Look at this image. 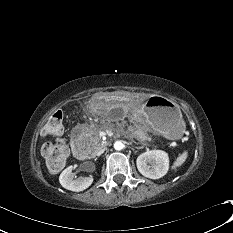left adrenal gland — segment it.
<instances>
[{
  "instance_id": "left-adrenal-gland-1",
  "label": "left adrenal gland",
  "mask_w": 233,
  "mask_h": 233,
  "mask_svg": "<svg viewBox=\"0 0 233 233\" xmlns=\"http://www.w3.org/2000/svg\"><path fill=\"white\" fill-rule=\"evenodd\" d=\"M142 147H136V149H141Z\"/></svg>"
}]
</instances>
